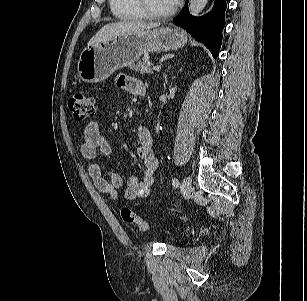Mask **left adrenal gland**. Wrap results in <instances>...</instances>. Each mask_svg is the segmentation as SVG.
<instances>
[{"label":"left adrenal gland","mask_w":307,"mask_h":301,"mask_svg":"<svg viewBox=\"0 0 307 301\" xmlns=\"http://www.w3.org/2000/svg\"><path fill=\"white\" fill-rule=\"evenodd\" d=\"M163 76H164V80H165V84H166L167 83V75H166V73H164Z\"/></svg>","instance_id":"1"}]
</instances>
